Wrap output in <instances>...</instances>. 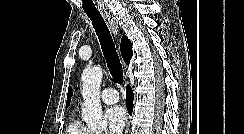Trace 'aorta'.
Segmentation results:
<instances>
[{"label":"aorta","mask_w":244,"mask_h":134,"mask_svg":"<svg viewBox=\"0 0 244 134\" xmlns=\"http://www.w3.org/2000/svg\"><path fill=\"white\" fill-rule=\"evenodd\" d=\"M102 76L103 70L101 66L86 69L81 76L83 82L82 96L84 100L82 118L91 129H103L106 127L100 102Z\"/></svg>","instance_id":"762f6f07"}]
</instances>
